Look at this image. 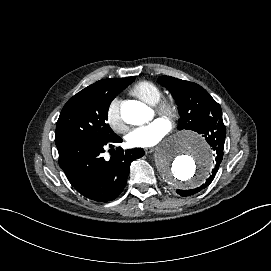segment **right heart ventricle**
Segmentation results:
<instances>
[{"label":"right heart ventricle","instance_id":"obj_1","mask_svg":"<svg viewBox=\"0 0 271 271\" xmlns=\"http://www.w3.org/2000/svg\"><path fill=\"white\" fill-rule=\"evenodd\" d=\"M131 93L150 105H156L163 96L161 88L148 80L136 83L132 87Z\"/></svg>","mask_w":271,"mask_h":271}]
</instances>
